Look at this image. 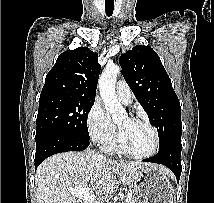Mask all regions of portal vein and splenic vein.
<instances>
[{"instance_id": "1", "label": "portal vein and splenic vein", "mask_w": 214, "mask_h": 203, "mask_svg": "<svg viewBox=\"0 0 214 203\" xmlns=\"http://www.w3.org/2000/svg\"><path fill=\"white\" fill-rule=\"evenodd\" d=\"M71 194L82 199L85 203H93L96 201L97 196L92 194V189L88 188H73L70 190ZM100 199V198H98ZM128 201V200H126Z\"/></svg>"}]
</instances>
